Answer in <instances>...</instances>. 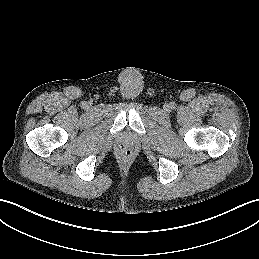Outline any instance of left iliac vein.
I'll list each match as a JSON object with an SVG mask.
<instances>
[{
	"label": "left iliac vein",
	"instance_id": "4c4485c4",
	"mask_svg": "<svg viewBox=\"0 0 259 259\" xmlns=\"http://www.w3.org/2000/svg\"><path fill=\"white\" fill-rule=\"evenodd\" d=\"M170 108L169 105H165V110H168Z\"/></svg>",
	"mask_w": 259,
	"mask_h": 259
}]
</instances>
